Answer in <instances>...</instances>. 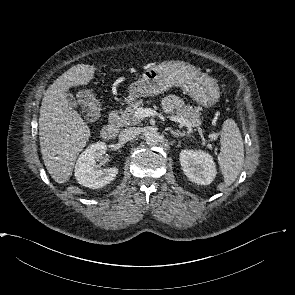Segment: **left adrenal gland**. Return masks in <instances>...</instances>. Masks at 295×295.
<instances>
[{"mask_svg": "<svg viewBox=\"0 0 295 295\" xmlns=\"http://www.w3.org/2000/svg\"><path fill=\"white\" fill-rule=\"evenodd\" d=\"M170 132L173 134L174 137H180V136H187V137H191V135L189 133L181 132L179 130H173L170 129Z\"/></svg>", "mask_w": 295, "mask_h": 295, "instance_id": "1", "label": "left adrenal gland"}]
</instances>
